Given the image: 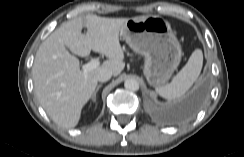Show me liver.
I'll list each match as a JSON object with an SVG mask.
<instances>
[{"mask_svg":"<svg viewBox=\"0 0 244 157\" xmlns=\"http://www.w3.org/2000/svg\"><path fill=\"white\" fill-rule=\"evenodd\" d=\"M128 18L97 15L77 17L63 23L40 45L32 67L34 91L47 115L63 128L75 127L84 105L97 88L102 69L118 76L124 69V50L119 36ZM87 33H82V28ZM94 51L108 60L84 74L75 56ZM72 53H70V52Z\"/></svg>","mask_w":244,"mask_h":157,"instance_id":"liver-1","label":"liver"}]
</instances>
